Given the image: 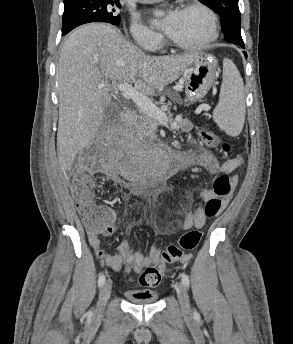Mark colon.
Returning a JSON list of instances; mask_svg holds the SVG:
<instances>
[{
  "label": "colon",
  "instance_id": "colon-1",
  "mask_svg": "<svg viewBox=\"0 0 293 344\" xmlns=\"http://www.w3.org/2000/svg\"><path fill=\"white\" fill-rule=\"evenodd\" d=\"M205 144L220 148L221 152L228 154L231 147L221 143L218 136L207 129L200 131ZM94 179L90 174L77 176L72 183V194L76 200V209L83 220L90 236L108 235L114 231L113 215L110 210L99 207L93 200ZM214 197L206 202L205 214L207 217L216 216L225 198L232 191V181L227 174L220 175L213 185ZM202 237V231L192 229L179 238L176 243L170 244L161 254L158 261L147 267L140 276V283L149 288L160 285L166 266L180 261L186 254L195 250Z\"/></svg>",
  "mask_w": 293,
  "mask_h": 344
}]
</instances>
